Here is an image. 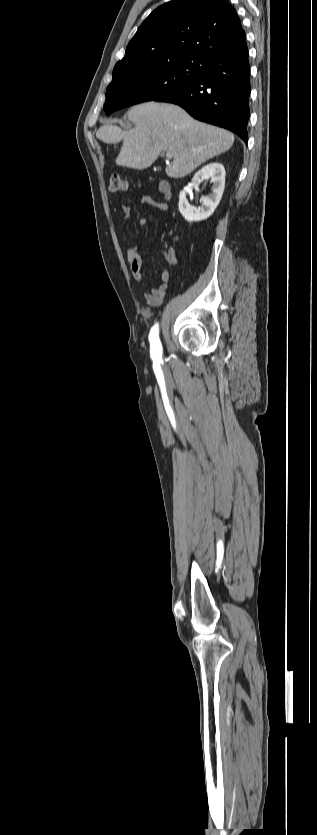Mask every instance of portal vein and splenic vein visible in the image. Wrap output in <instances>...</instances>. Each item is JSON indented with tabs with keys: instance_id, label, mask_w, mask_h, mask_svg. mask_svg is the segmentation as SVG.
<instances>
[{
	"instance_id": "18ae733b",
	"label": "portal vein and splenic vein",
	"mask_w": 317,
	"mask_h": 835,
	"mask_svg": "<svg viewBox=\"0 0 317 835\" xmlns=\"http://www.w3.org/2000/svg\"><path fill=\"white\" fill-rule=\"evenodd\" d=\"M167 157H168V158H170V157H171V154H169V153H168V154H167Z\"/></svg>"
}]
</instances>
